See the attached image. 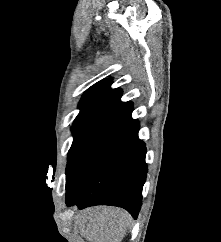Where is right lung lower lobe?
Here are the masks:
<instances>
[{"mask_svg": "<svg viewBox=\"0 0 221 242\" xmlns=\"http://www.w3.org/2000/svg\"><path fill=\"white\" fill-rule=\"evenodd\" d=\"M132 110L98 127L78 148L66 168L67 206H119L137 218L147 165Z\"/></svg>", "mask_w": 221, "mask_h": 242, "instance_id": "right-lung-lower-lobe-1", "label": "right lung lower lobe"}]
</instances>
